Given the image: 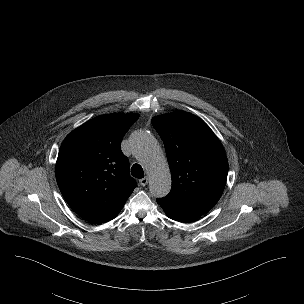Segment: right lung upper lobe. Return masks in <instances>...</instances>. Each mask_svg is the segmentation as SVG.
I'll use <instances>...</instances> for the list:
<instances>
[{"label":"right lung upper lobe","mask_w":304,"mask_h":304,"mask_svg":"<svg viewBox=\"0 0 304 304\" xmlns=\"http://www.w3.org/2000/svg\"><path fill=\"white\" fill-rule=\"evenodd\" d=\"M139 114H108L73 130L62 142L56 180L69 206L92 223L117 216L136 187L121 141Z\"/></svg>","instance_id":"cb5924a9"}]
</instances>
